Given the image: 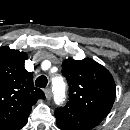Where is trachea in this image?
<instances>
[{
    "label": "trachea",
    "mask_w": 130,
    "mask_h": 130,
    "mask_svg": "<svg viewBox=\"0 0 130 130\" xmlns=\"http://www.w3.org/2000/svg\"><path fill=\"white\" fill-rule=\"evenodd\" d=\"M47 83L48 79L46 78V76L43 75L39 76L35 81V85L40 88H45L47 86Z\"/></svg>",
    "instance_id": "3493384b"
}]
</instances>
